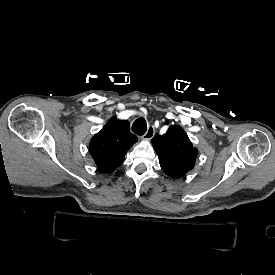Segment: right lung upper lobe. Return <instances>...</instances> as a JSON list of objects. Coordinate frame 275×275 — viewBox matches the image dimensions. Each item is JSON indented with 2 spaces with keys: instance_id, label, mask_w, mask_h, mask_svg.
<instances>
[{
  "instance_id": "cb5924a9",
  "label": "right lung upper lobe",
  "mask_w": 275,
  "mask_h": 275,
  "mask_svg": "<svg viewBox=\"0 0 275 275\" xmlns=\"http://www.w3.org/2000/svg\"><path fill=\"white\" fill-rule=\"evenodd\" d=\"M137 140L130 132V123L114 117L92 137L90 153L100 171L112 172L123 163L126 152Z\"/></svg>"
}]
</instances>
